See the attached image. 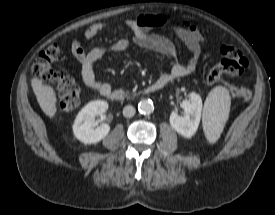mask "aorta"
Returning <instances> with one entry per match:
<instances>
[{
    "label": "aorta",
    "instance_id": "762f6f07",
    "mask_svg": "<svg viewBox=\"0 0 275 215\" xmlns=\"http://www.w3.org/2000/svg\"><path fill=\"white\" fill-rule=\"evenodd\" d=\"M138 111L141 114H151L154 111V105L150 100H141L138 104Z\"/></svg>",
    "mask_w": 275,
    "mask_h": 215
}]
</instances>
